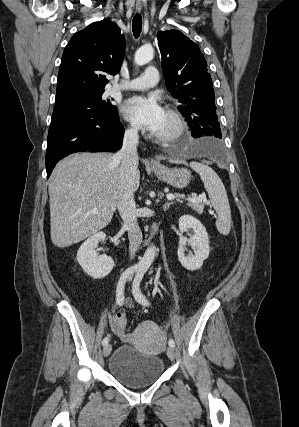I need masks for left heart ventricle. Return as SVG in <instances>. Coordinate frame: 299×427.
<instances>
[{"label": "left heart ventricle", "instance_id": "obj_1", "mask_svg": "<svg viewBox=\"0 0 299 427\" xmlns=\"http://www.w3.org/2000/svg\"><path fill=\"white\" fill-rule=\"evenodd\" d=\"M172 128V122L170 118L165 114L164 119L156 133H165L171 130Z\"/></svg>", "mask_w": 299, "mask_h": 427}]
</instances>
